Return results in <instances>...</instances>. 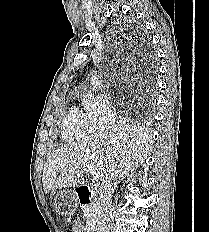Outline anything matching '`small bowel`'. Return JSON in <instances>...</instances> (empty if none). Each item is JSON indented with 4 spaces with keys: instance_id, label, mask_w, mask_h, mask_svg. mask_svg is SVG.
<instances>
[{
    "instance_id": "obj_1",
    "label": "small bowel",
    "mask_w": 209,
    "mask_h": 232,
    "mask_svg": "<svg viewBox=\"0 0 209 232\" xmlns=\"http://www.w3.org/2000/svg\"><path fill=\"white\" fill-rule=\"evenodd\" d=\"M70 232H85V226L84 224L78 220L72 222V231Z\"/></svg>"
}]
</instances>
